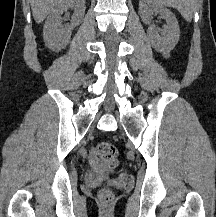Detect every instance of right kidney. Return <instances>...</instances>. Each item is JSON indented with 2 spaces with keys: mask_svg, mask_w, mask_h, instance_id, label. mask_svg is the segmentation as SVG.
<instances>
[{
  "mask_svg": "<svg viewBox=\"0 0 216 217\" xmlns=\"http://www.w3.org/2000/svg\"><path fill=\"white\" fill-rule=\"evenodd\" d=\"M69 9L74 13L71 22L62 24V14ZM85 0H62L48 15L44 25L43 37L47 47L53 51H59L70 42L72 30L78 26L84 18Z\"/></svg>",
  "mask_w": 216,
  "mask_h": 217,
  "instance_id": "right-kidney-1",
  "label": "right kidney"
}]
</instances>
